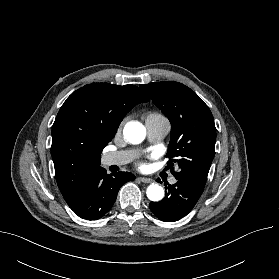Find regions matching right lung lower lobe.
<instances>
[{"label":"right lung lower lobe","instance_id":"98d812e1","mask_svg":"<svg viewBox=\"0 0 279 279\" xmlns=\"http://www.w3.org/2000/svg\"><path fill=\"white\" fill-rule=\"evenodd\" d=\"M135 176L128 172L108 175L102 167L91 173L69 207L81 218L97 220L113 206L120 187Z\"/></svg>","mask_w":279,"mask_h":279}]
</instances>
